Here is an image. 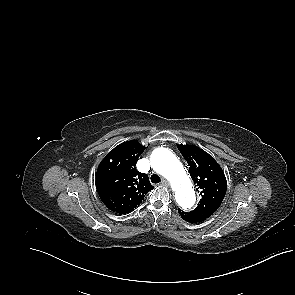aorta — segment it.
<instances>
[{"mask_svg": "<svg viewBox=\"0 0 295 295\" xmlns=\"http://www.w3.org/2000/svg\"><path fill=\"white\" fill-rule=\"evenodd\" d=\"M155 171L163 175L175 191L177 204L184 210L191 209L196 201L192 181L177 157L166 148H157L151 154Z\"/></svg>", "mask_w": 295, "mask_h": 295, "instance_id": "obj_1", "label": "aorta"}]
</instances>
